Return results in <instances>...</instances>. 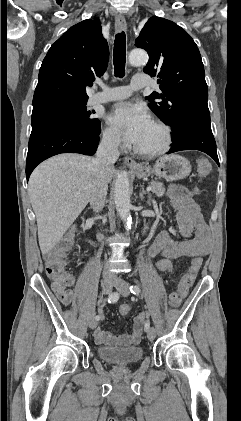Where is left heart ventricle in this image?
I'll return each instance as SVG.
<instances>
[{"instance_id": "left-heart-ventricle-1", "label": "left heart ventricle", "mask_w": 241, "mask_h": 421, "mask_svg": "<svg viewBox=\"0 0 241 421\" xmlns=\"http://www.w3.org/2000/svg\"><path fill=\"white\" fill-rule=\"evenodd\" d=\"M162 141L163 133L161 129L151 122L136 146L141 149L150 150L158 148L162 144Z\"/></svg>"}]
</instances>
